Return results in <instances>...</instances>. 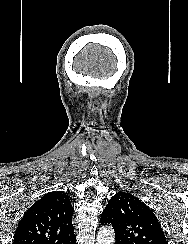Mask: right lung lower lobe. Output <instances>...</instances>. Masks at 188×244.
<instances>
[{
	"label": "right lung lower lobe",
	"instance_id": "98d812e1",
	"mask_svg": "<svg viewBox=\"0 0 188 244\" xmlns=\"http://www.w3.org/2000/svg\"><path fill=\"white\" fill-rule=\"evenodd\" d=\"M75 239H76V238H75ZM75 239L72 240V241H70L69 244H75V243H76V242H75Z\"/></svg>",
	"mask_w": 188,
	"mask_h": 244
}]
</instances>
